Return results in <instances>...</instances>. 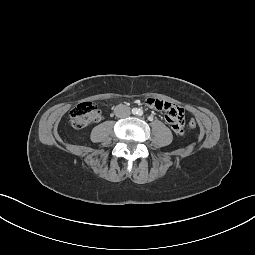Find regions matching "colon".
<instances>
[{
  "label": "colon",
  "instance_id": "colon-1",
  "mask_svg": "<svg viewBox=\"0 0 255 255\" xmlns=\"http://www.w3.org/2000/svg\"><path fill=\"white\" fill-rule=\"evenodd\" d=\"M183 110V108H181ZM184 111V110H183ZM102 118L101 110L92 102L78 104L70 112V125L72 128L81 129L91 123L100 121ZM188 127L193 129L196 123L193 119L188 122Z\"/></svg>",
  "mask_w": 255,
  "mask_h": 255
}]
</instances>
